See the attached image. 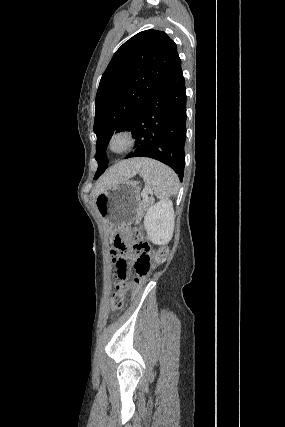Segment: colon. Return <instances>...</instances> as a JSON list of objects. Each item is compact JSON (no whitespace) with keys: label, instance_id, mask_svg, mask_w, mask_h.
<instances>
[{"label":"colon","instance_id":"1","mask_svg":"<svg viewBox=\"0 0 285 427\" xmlns=\"http://www.w3.org/2000/svg\"><path fill=\"white\" fill-rule=\"evenodd\" d=\"M130 250L138 254L132 265L136 287L145 283L148 279L153 264L164 263L168 255V249L165 246L152 251L150 245L143 240L141 230L138 227L116 236L114 240L115 255H120ZM115 264L118 272L115 285L116 291L112 297L111 309L118 311L124 306L125 294L129 288L126 272L128 264L124 260L116 261Z\"/></svg>","mask_w":285,"mask_h":427}]
</instances>
